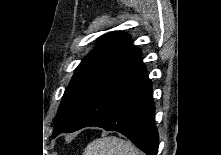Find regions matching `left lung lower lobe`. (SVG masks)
I'll return each mask as SVG.
<instances>
[{"instance_id": "left-lung-lower-lobe-1", "label": "left lung lower lobe", "mask_w": 221, "mask_h": 155, "mask_svg": "<svg viewBox=\"0 0 221 155\" xmlns=\"http://www.w3.org/2000/svg\"><path fill=\"white\" fill-rule=\"evenodd\" d=\"M151 95L152 84L139 52L112 72L92 93L72 123L53 137L96 126L118 131L146 155H157L159 139Z\"/></svg>"}]
</instances>
